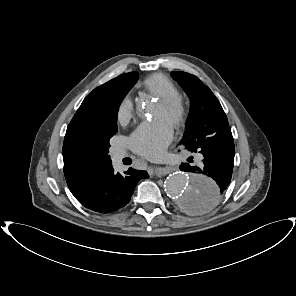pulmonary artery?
Segmentation results:
<instances>
[{"label": "pulmonary artery", "instance_id": "obj_1", "mask_svg": "<svg viewBox=\"0 0 296 296\" xmlns=\"http://www.w3.org/2000/svg\"><path fill=\"white\" fill-rule=\"evenodd\" d=\"M124 156V152L122 150H115L113 153V159L116 163H119Z\"/></svg>", "mask_w": 296, "mask_h": 296}]
</instances>
